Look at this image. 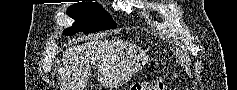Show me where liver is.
<instances>
[{"instance_id": "liver-1", "label": "liver", "mask_w": 237, "mask_h": 90, "mask_svg": "<svg viewBox=\"0 0 237 90\" xmlns=\"http://www.w3.org/2000/svg\"><path fill=\"white\" fill-rule=\"evenodd\" d=\"M115 54L114 44L109 42H87L81 46H71L66 50L61 64L63 82L67 90H84L86 88L90 74L91 64H103L110 62L111 56Z\"/></svg>"}]
</instances>
